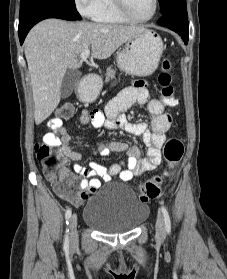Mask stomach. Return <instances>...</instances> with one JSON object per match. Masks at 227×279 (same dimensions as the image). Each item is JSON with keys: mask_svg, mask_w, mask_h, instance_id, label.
I'll return each instance as SVG.
<instances>
[{"mask_svg": "<svg viewBox=\"0 0 227 279\" xmlns=\"http://www.w3.org/2000/svg\"><path fill=\"white\" fill-rule=\"evenodd\" d=\"M164 46L155 32L142 28L128 39L118 52L116 61L119 69L135 76H148L158 67ZM102 88L100 81L89 80L78 89L82 101L93 102Z\"/></svg>", "mask_w": 227, "mask_h": 279, "instance_id": "obj_1", "label": "stomach"}]
</instances>
